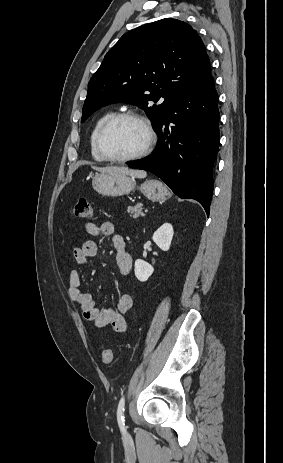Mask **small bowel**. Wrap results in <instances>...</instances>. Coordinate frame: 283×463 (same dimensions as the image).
Here are the masks:
<instances>
[{
    "mask_svg": "<svg viewBox=\"0 0 283 463\" xmlns=\"http://www.w3.org/2000/svg\"><path fill=\"white\" fill-rule=\"evenodd\" d=\"M86 232L91 236H106L112 240L116 251V264L121 276H127L132 267V258L126 251L124 238L117 233L111 222H104L100 226L94 222L85 225ZM99 250L95 241H85L82 246L73 249V258L78 266L86 264L89 258L97 255ZM68 295L82 311L84 319L97 327H109L117 332H126L129 322L125 315L133 306V298L129 294L122 295L115 306L99 309L91 295L81 289V277L77 269H72L69 274Z\"/></svg>",
    "mask_w": 283,
    "mask_h": 463,
    "instance_id": "c3829d8e",
    "label": "small bowel"
}]
</instances>
